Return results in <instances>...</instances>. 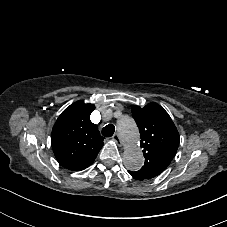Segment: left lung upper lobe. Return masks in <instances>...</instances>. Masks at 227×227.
Segmentation results:
<instances>
[{"mask_svg":"<svg viewBox=\"0 0 227 227\" xmlns=\"http://www.w3.org/2000/svg\"><path fill=\"white\" fill-rule=\"evenodd\" d=\"M132 116L140 132L144 166L133 172L140 179H151L164 171L176 155L179 133L169 114L157 103L133 105Z\"/></svg>","mask_w":227,"mask_h":227,"instance_id":"obj_1","label":"left lung upper lobe"}]
</instances>
